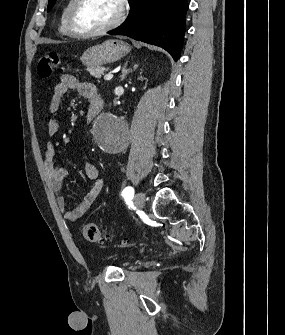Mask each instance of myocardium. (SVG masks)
<instances>
[{"label": "myocardium", "instance_id": "obj_1", "mask_svg": "<svg viewBox=\"0 0 285 335\" xmlns=\"http://www.w3.org/2000/svg\"><path fill=\"white\" fill-rule=\"evenodd\" d=\"M88 1H74L69 13V28L73 35L82 38H91L103 35L117 27L125 16V6L127 1H115L116 14L114 18L103 28L97 30H88L79 23V13L81 8Z\"/></svg>", "mask_w": 285, "mask_h": 335}]
</instances>
